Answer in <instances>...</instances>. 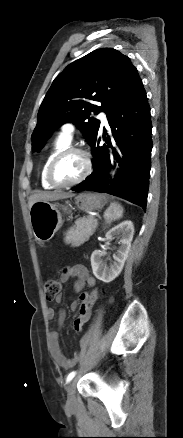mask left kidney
I'll list each match as a JSON object with an SVG mask.
<instances>
[{
  "label": "left kidney",
  "mask_w": 183,
  "mask_h": 438,
  "mask_svg": "<svg viewBox=\"0 0 183 438\" xmlns=\"http://www.w3.org/2000/svg\"><path fill=\"white\" fill-rule=\"evenodd\" d=\"M114 235H119L121 237L120 247L117 250L116 255L113 256L115 262L107 267L103 263L101 257L103 252L100 250H95L91 255V266L94 276L105 282L109 283L113 281L121 273L124 263L128 257V253L131 247V241L134 235V225L130 220L124 221L113 228H111L105 235L107 240L113 238Z\"/></svg>",
  "instance_id": "obj_1"
}]
</instances>
